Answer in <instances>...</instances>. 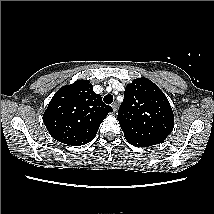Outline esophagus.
Segmentation results:
<instances>
[{
    "instance_id": "1",
    "label": "esophagus",
    "mask_w": 214,
    "mask_h": 214,
    "mask_svg": "<svg viewBox=\"0 0 214 214\" xmlns=\"http://www.w3.org/2000/svg\"><path fill=\"white\" fill-rule=\"evenodd\" d=\"M111 106L113 108V111L116 112V110H117V104L116 103H112Z\"/></svg>"
}]
</instances>
